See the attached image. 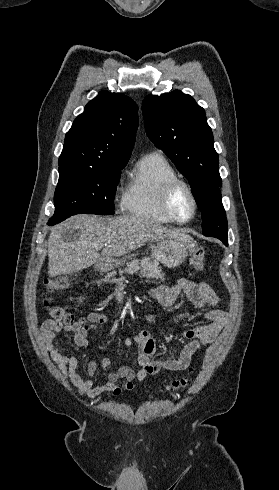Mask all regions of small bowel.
<instances>
[{
    "instance_id": "small-bowel-1",
    "label": "small bowel",
    "mask_w": 279,
    "mask_h": 490,
    "mask_svg": "<svg viewBox=\"0 0 279 490\" xmlns=\"http://www.w3.org/2000/svg\"><path fill=\"white\" fill-rule=\"evenodd\" d=\"M184 292L189 301L197 308L204 310L207 323L188 329L183 336L188 342L178 352L169 355L164 360H153L156 350L155 340L149 330H143L139 334L127 337L124 340L126 347L136 346L138 349V373L128 367L122 366L117 371L112 370L111 360L105 358L101 361V368L107 381L95 386L92 377L96 375L97 363L90 361L87 365L88 379L82 378L77 372L79 361L73 353L64 354L65 348L58 341L60 333H71L74 344L79 348H86L88 331L108 320V316L102 312H92L86 317L69 324H63L52 319L45 320L40 327L41 340L44 347L60 371L66 376L73 387L82 395L90 398L97 397L105 392L115 395L132 390V381L135 378L143 380L147 375L163 370H185L191 364L196 353L205 345L212 343L228 321V314L221 309H210L220 303V298L211 287L204 282H193L182 278L172 286H160L149 291V296L164 307H171ZM189 313H183L174 319L175 323L189 317ZM142 321L154 324L157 317L151 313H145Z\"/></svg>"
}]
</instances>
